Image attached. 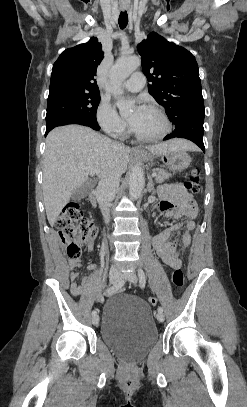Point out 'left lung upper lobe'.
Segmentation results:
<instances>
[{"instance_id": "1", "label": "left lung upper lobe", "mask_w": 247, "mask_h": 407, "mask_svg": "<svg viewBox=\"0 0 247 407\" xmlns=\"http://www.w3.org/2000/svg\"><path fill=\"white\" fill-rule=\"evenodd\" d=\"M137 50L149 93L166 109L172 123L191 115H205L199 69L186 49L152 32Z\"/></svg>"}]
</instances>
